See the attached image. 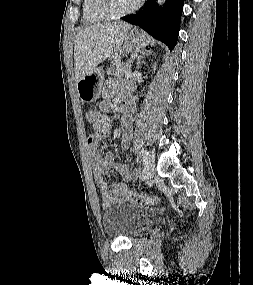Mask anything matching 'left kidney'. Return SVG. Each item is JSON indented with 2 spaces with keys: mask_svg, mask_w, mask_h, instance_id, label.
<instances>
[{
  "mask_svg": "<svg viewBox=\"0 0 253 285\" xmlns=\"http://www.w3.org/2000/svg\"><path fill=\"white\" fill-rule=\"evenodd\" d=\"M153 68H154V71L156 70V63H155V65L153 66Z\"/></svg>",
  "mask_w": 253,
  "mask_h": 285,
  "instance_id": "5707ae66",
  "label": "left kidney"
}]
</instances>
